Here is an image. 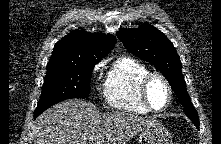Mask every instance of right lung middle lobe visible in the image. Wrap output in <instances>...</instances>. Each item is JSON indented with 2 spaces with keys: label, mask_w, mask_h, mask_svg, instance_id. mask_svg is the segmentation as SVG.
I'll return each mask as SVG.
<instances>
[{
  "label": "right lung middle lobe",
  "mask_w": 221,
  "mask_h": 144,
  "mask_svg": "<svg viewBox=\"0 0 221 144\" xmlns=\"http://www.w3.org/2000/svg\"><path fill=\"white\" fill-rule=\"evenodd\" d=\"M96 63L47 64V72L34 116L66 99L86 98L89 82Z\"/></svg>",
  "instance_id": "dd1d6c3e"
}]
</instances>
